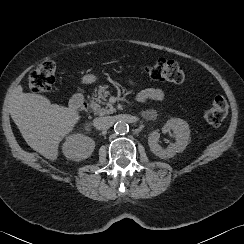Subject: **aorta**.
<instances>
[{"mask_svg": "<svg viewBox=\"0 0 244 244\" xmlns=\"http://www.w3.org/2000/svg\"><path fill=\"white\" fill-rule=\"evenodd\" d=\"M114 129L118 134H125L129 131V125L126 122L119 121L115 124Z\"/></svg>", "mask_w": 244, "mask_h": 244, "instance_id": "1", "label": "aorta"}]
</instances>
